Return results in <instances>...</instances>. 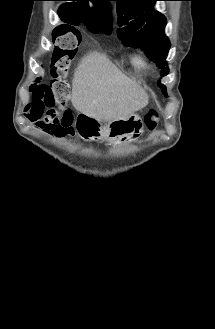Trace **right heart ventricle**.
Instances as JSON below:
<instances>
[{"label": "right heart ventricle", "instance_id": "obj_1", "mask_svg": "<svg viewBox=\"0 0 215 329\" xmlns=\"http://www.w3.org/2000/svg\"><path fill=\"white\" fill-rule=\"evenodd\" d=\"M131 63L135 68H142L146 65V60L140 54H134L131 57Z\"/></svg>", "mask_w": 215, "mask_h": 329}]
</instances>
